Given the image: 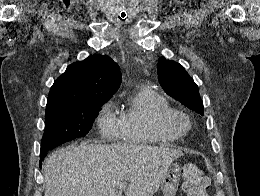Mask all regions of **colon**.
Segmentation results:
<instances>
[{
    "mask_svg": "<svg viewBox=\"0 0 260 196\" xmlns=\"http://www.w3.org/2000/svg\"><path fill=\"white\" fill-rule=\"evenodd\" d=\"M182 180L187 196H207L210 178L197 166H185L182 170Z\"/></svg>",
    "mask_w": 260,
    "mask_h": 196,
    "instance_id": "colon-1",
    "label": "colon"
}]
</instances>
